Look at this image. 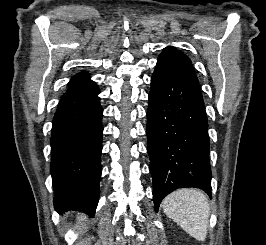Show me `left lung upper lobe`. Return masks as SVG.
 Returning <instances> with one entry per match:
<instances>
[{
	"label": "left lung upper lobe",
	"instance_id": "obj_1",
	"mask_svg": "<svg viewBox=\"0 0 266 245\" xmlns=\"http://www.w3.org/2000/svg\"><path fill=\"white\" fill-rule=\"evenodd\" d=\"M159 58L170 59L174 62H177L183 65L188 71H190L193 75L196 76L190 59L185 54L178 51L175 47L168 46L164 48Z\"/></svg>",
	"mask_w": 266,
	"mask_h": 245
}]
</instances>
